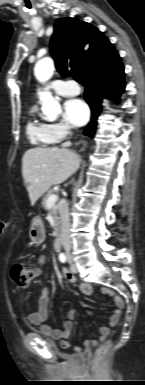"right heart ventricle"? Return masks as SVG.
<instances>
[{
  "mask_svg": "<svg viewBox=\"0 0 145 385\" xmlns=\"http://www.w3.org/2000/svg\"><path fill=\"white\" fill-rule=\"evenodd\" d=\"M26 134L34 145L46 146L54 143L49 124L36 117V108H31L26 124Z\"/></svg>",
  "mask_w": 145,
  "mask_h": 385,
  "instance_id": "e07e8e85",
  "label": "right heart ventricle"
}]
</instances>
